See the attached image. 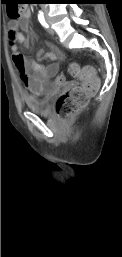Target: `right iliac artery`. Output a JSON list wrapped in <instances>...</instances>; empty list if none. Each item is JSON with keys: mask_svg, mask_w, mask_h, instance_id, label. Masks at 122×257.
I'll use <instances>...</instances> for the list:
<instances>
[{"mask_svg": "<svg viewBox=\"0 0 122 257\" xmlns=\"http://www.w3.org/2000/svg\"><path fill=\"white\" fill-rule=\"evenodd\" d=\"M38 20H39V22L41 23V25H42L43 27L48 28V24L46 23L45 18H44V15H43L42 12H40V13L38 14Z\"/></svg>", "mask_w": 122, "mask_h": 257, "instance_id": "right-iliac-artery-1", "label": "right iliac artery"}]
</instances>
